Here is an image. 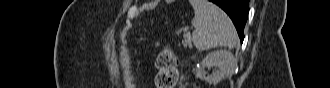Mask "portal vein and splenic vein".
<instances>
[{"instance_id":"portal-vein-and-splenic-vein-1","label":"portal vein and splenic vein","mask_w":330,"mask_h":88,"mask_svg":"<svg viewBox=\"0 0 330 88\" xmlns=\"http://www.w3.org/2000/svg\"><path fill=\"white\" fill-rule=\"evenodd\" d=\"M184 31H185V32H187V31H188V28H187V27H185ZM187 34H188V33H187Z\"/></svg>"}]
</instances>
